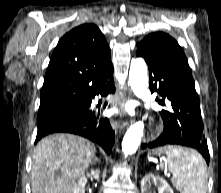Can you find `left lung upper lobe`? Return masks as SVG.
Listing matches in <instances>:
<instances>
[{
    "instance_id": "5c2ea615",
    "label": "left lung upper lobe",
    "mask_w": 221,
    "mask_h": 193,
    "mask_svg": "<svg viewBox=\"0 0 221 193\" xmlns=\"http://www.w3.org/2000/svg\"><path fill=\"white\" fill-rule=\"evenodd\" d=\"M139 44L160 56L187 62V58L181 47L171 36L166 33H151L147 35Z\"/></svg>"
}]
</instances>
